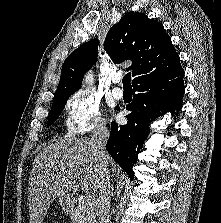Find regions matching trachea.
<instances>
[{
    "mask_svg": "<svg viewBox=\"0 0 221 223\" xmlns=\"http://www.w3.org/2000/svg\"><path fill=\"white\" fill-rule=\"evenodd\" d=\"M123 87L124 88H132L131 86V73H127L122 79Z\"/></svg>",
    "mask_w": 221,
    "mask_h": 223,
    "instance_id": "1",
    "label": "trachea"
}]
</instances>
